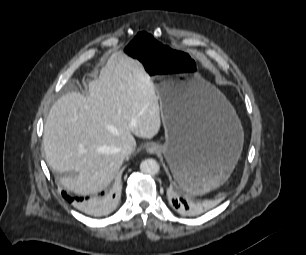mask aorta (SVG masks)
<instances>
[{
	"label": "aorta",
	"instance_id": "762f6f07",
	"mask_svg": "<svg viewBox=\"0 0 306 255\" xmlns=\"http://www.w3.org/2000/svg\"><path fill=\"white\" fill-rule=\"evenodd\" d=\"M140 170L146 175H156L160 171V166L155 159L148 158L141 162Z\"/></svg>",
	"mask_w": 306,
	"mask_h": 255
}]
</instances>
